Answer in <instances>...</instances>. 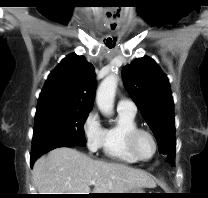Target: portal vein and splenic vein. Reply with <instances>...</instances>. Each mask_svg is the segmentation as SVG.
Here are the masks:
<instances>
[{
  "label": "portal vein and splenic vein",
  "mask_w": 208,
  "mask_h": 198,
  "mask_svg": "<svg viewBox=\"0 0 208 198\" xmlns=\"http://www.w3.org/2000/svg\"><path fill=\"white\" fill-rule=\"evenodd\" d=\"M94 184H95L94 180L90 181V185H94Z\"/></svg>",
  "instance_id": "18ae733b"
}]
</instances>
